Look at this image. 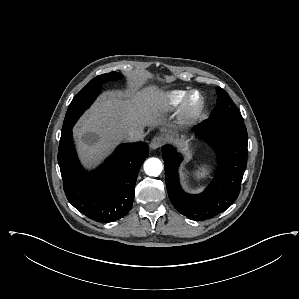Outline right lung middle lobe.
I'll list each match as a JSON object with an SVG mask.
<instances>
[{
	"label": "right lung middle lobe",
	"mask_w": 299,
	"mask_h": 299,
	"mask_svg": "<svg viewBox=\"0 0 299 299\" xmlns=\"http://www.w3.org/2000/svg\"><path fill=\"white\" fill-rule=\"evenodd\" d=\"M120 78V74L111 72L92 79L72 100L65 115L61 136H65L72 129L82 113L93 103L104 82L118 80Z\"/></svg>",
	"instance_id": "obj_1"
}]
</instances>
